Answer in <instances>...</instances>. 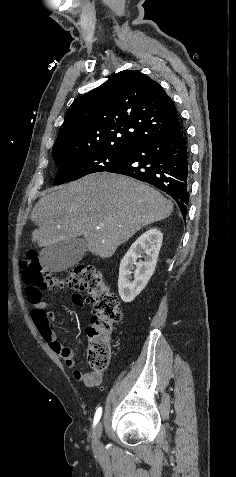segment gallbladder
<instances>
[{
  "mask_svg": "<svg viewBox=\"0 0 236 477\" xmlns=\"http://www.w3.org/2000/svg\"><path fill=\"white\" fill-rule=\"evenodd\" d=\"M87 249L81 238L59 241L45 247L40 254L42 266L52 272L64 271L77 264Z\"/></svg>",
  "mask_w": 236,
  "mask_h": 477,
  "instance_id": "bac80fb5",
  "label": "gallbladder"
}]
</instances>
